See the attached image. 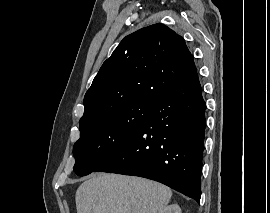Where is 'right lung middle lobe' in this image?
I'll return each instance as SVG.
<instances>
[{"label": "right lung middle lobe", "mask_w": 270, "mask_h": 213, "mask_svg": "<svg viewBox=\"0 0 270 213\" xmlns=\"http://www.w3.org/2000/svg\"><path fill=\"white\" fill-rule=\"evenodd\" d=\"M156 104L133 101L79 122L74 171L79 176L94 172L112 157L140 128Z\"/></svg>", "instance_id": "obj_1"}]
</instances>
